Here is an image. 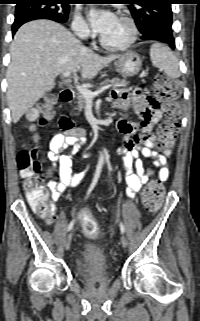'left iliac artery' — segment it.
Wrapping results in <instances>:
<instances>
[{"instance_id":"1","label":"left iliac artery","mask_w":200,"mask_h":321,"mask_svg":"<svg viewBox=\"0 0 200 321\" xmlns=\"http://www.w3.org/2000/svg\"><path fill=\"white\" fill-rule=\"evenodd\" d=\"M120 230H121V233L124 234L125 233V226L122 222H120Z\"/></svg>"}]
</instances>
